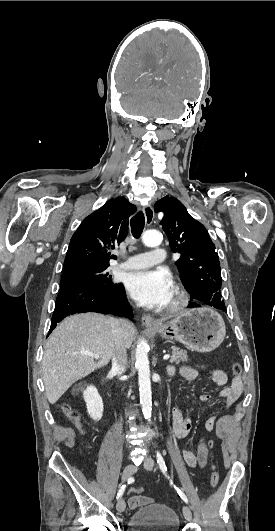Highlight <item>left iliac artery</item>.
<instances>
[{
    "label": "left iliac artery",
    "mask_w": 275,
    "mask_h": 531,
    "mask_svg": "<svg viewBox=\"0 0 275 531\" xmlns=\"http://www.w3.org/2000/svg\"><path fill=\"white\" fill-rule=\"evenodd\" d=\"M156 457H157V463H158L162 473L167 477V474H166L167 467H166L165 461H164V459H163V457H162V455L160 454L159 451H157ZM170 484L173 485L172 480H170ZM174 488L176 489V491L179 494V496L181 497V499L185 503H188V499H187L186 495L178 487H176L175 485H174Z\"/></svg>",
    "instance_id": "1"
}]
</instances>
